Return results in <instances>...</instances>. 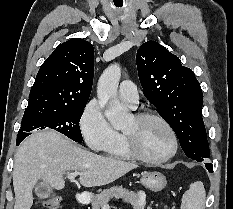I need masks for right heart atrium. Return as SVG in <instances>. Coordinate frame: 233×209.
Returning a JSON list of instances; mask_svg holds the SVG:
<instances>
[{
    "label": "right heart atrium",
    "instance_id": "right-heart-atrium-1",
    "mask_svg": "<svg viewBox=\"0 0 233 209\" xmlns=\"http://www.w3.org/2000/svg\"><path fill=\"white\" fill-rule=\"evenodd\" d=\"M79 126L86 144L94 151L105 150L118 137L97 99H92L85 105L80 115Z\"/></svg>",
    "mask_w": 233,
    "mask_h": 209
}]
</instances>
